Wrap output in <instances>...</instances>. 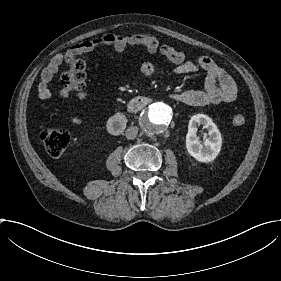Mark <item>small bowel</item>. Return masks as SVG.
<instances>
[{"label":"small bowel","mask_w":281,"mask_h":281,"mask_svg":"<svg viewBox=\"0 0 281 281\" xmlns=\"http://www.w3.org/2000/svg\"><path fill=\"white\" fill-rule=\"evenodd\" d=\"M104 45L111 47L116 52H123L130 47H143L150 53L161 52L174 65L171 69L173 75H184L202 69L207 73L205 86L197 90H181L173 93V99L180 104L188 105H216L219 103H232L237 97L236 85L231 76L210 57L199 55L194 61H188L185 54L171 46L161 45L153 33H109L102 39ZM86 46L90 48L91 43ZM82 52L81 45H75L73 49L65 53H59L51 58L47 67L41 73V84L39 86V97L42 100L52 98L49 88L53 77L58 72L66 59H75ZM158 66L153 62H145L141 66V73L146 77H153L158 73ZM71 87L60 90L62 99L69 97ZM69 121L76 126L82 124L78 116H71Z\"/></svg>","instance_id":"obj_1"}]
</instances>
